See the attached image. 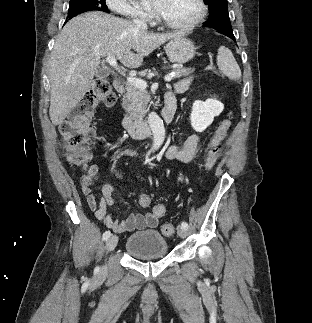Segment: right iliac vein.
<instances>
[{
    "label": "right iliac vein",
    "instance_id": "obj_1",
    "mask_svg": "<svg viewBox=\"0 0 312 323\" xmlns=\"http://www.w3.org/2000/svg\"><path fill=\"white\" fill-rule=\"evenodd\" d=\"M117 243H118V237L116 235L110 236L106 240V250L107 251L113 250L116 247ZM103 270H105V269H103Z\"/></svg>",
    "mask_w": 312,
    "mask_h": 323
}]
</instances>
